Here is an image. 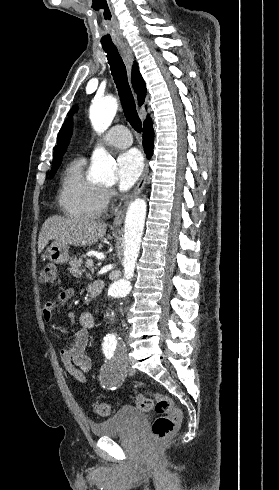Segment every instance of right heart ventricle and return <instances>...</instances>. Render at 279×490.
I'll list each match as a JSON object with an SVG mask.
<instances>
[{
	"instance_id": "1",
	"label": "right heart ventricle",
	"mask_w": 279,
	"mask_h": 490,
	"mask_svg": "<svg viewBox=\"0 0 279 490\" xmlns=\"http://www.w3.org/2000/svg\"><path fill=\"white\" fill-rule=\"evenodd\" d=\"M83 159L72 160L65 168L59 193L64 214L76 220H93L100 215L98 196L100 187L83 176Z\"/></svg>"
}]
</instances>
